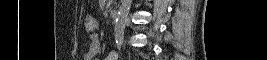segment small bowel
<instances>
[{
  "label": "small bowel",
  "instance_id": "obj_1",
  "mask_svg": "<svg viewBox=\"0 0 267 60\" xmlns=\"http://www.w3.org/2000/svg\"><path fill=\"white\" fill-rule=\"evenodd\" d=\"M89 47L85 53L86 60H93L97 55L101 53V41L97 33L90 35ZM119 54L117 52H110L106 57V60H119Z\"/></svg>",
  "mask_w": 267,
  "mask_h": 60
}]
</instances>
